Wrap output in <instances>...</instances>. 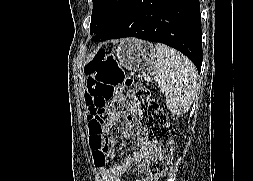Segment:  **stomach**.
<instances>
[{
    "label": "stomach",
    "mask_w": 253,
    "mask_h": 181,
    "mask_svg": "<svg viewBox=\"0 0 253 181\" xmlns=\"http://www.w3.org/2000/svg\"><path fill=\"white\" fill-rule=\"evenodd\" d=\"M155 48L152 43L138 39H124L114 52L119 66L138 73H148L155 68Z\"/></svg>",
    "instance_id": "obj_1"
}]
</instances>
